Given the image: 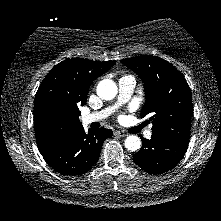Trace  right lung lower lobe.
<instances>
[{
	"mask_svg": "<svg viewBox=\"0 0 221 221\" xmlns=\"http://www.w3.org/2000/svg\"><path fill=\"white\" fill-rule=\"evenodd\" d=\"M112 135L111 130L104 128L89 129L86 133L82 126L42 153V156L58 173L80 176L98 161L102 143Z\"/></svg>",
	"mask_w": 221,
	"mask_h": 221,
	"instance_id": "98d812e1",
	"label": "right lung lower lobe"
}]
</instances>
